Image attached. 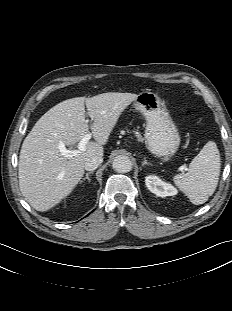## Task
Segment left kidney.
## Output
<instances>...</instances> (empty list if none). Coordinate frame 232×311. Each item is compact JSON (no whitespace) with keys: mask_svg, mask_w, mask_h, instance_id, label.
Here are the masks:
<instances>
[{"mask_svg":"<svg viewBox=\"0 0 232 311\" xmlns=\"http://www.w3.org/2000/svg\"><path fill=\"white\" fill-rule=\"evenodd\" d=\"M147 188L159 197L174 196L177 189L170 183L162 181L158 176L149 175L145 178Z\"/></svg>","mask_w":232,"mask_h":311,"instance_id":"left-kidney-1","label":"left kidney"}]
</instances>
